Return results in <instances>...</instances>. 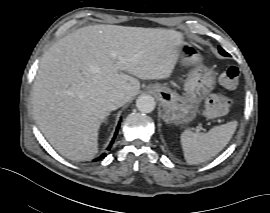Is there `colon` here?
<instances>
[{
  "instance_id": "5ec220e1",
  "label": "colon",
  "mask_w": 270,
  "mask_h": 213,
  "mask_svg": "<svg viewBox=\"0 0 270 213\" xmlns=\"http://www.w3.org/2000/svg\"><path fill=\"white\" fill-rule=\"evenodd\" d=\"M239 71L236 66L228 67L220 77V85L225 90H233L238 85ZM232 100L223 95H213L207 99L202 114L207 119L223 117L230 109Z\"/></svg>"
}]
</instances>
